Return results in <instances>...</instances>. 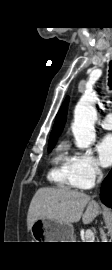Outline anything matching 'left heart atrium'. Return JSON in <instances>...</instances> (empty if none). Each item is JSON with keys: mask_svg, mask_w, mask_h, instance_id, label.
Masks as SVG:
<instances>
[{"mask_svg": "<svg viewBox=\"0 0 112 270\" xmlns=\"http://www.w3.org/2000/svg\"><path fill=\"white\" fill-rule=\"evenodd\" d=\"M100 163L107 167L112 165V134L106 135L98 144Z\"/></svg>", "mask_w": 112, "mask_h": 270, "instance_id": "obj_1", "label": "left heart atrium"}]
</instances>
